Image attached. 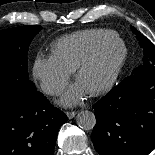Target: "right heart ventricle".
<instances>
[{"mask_svg": "<svg viewBox=\"0 0 155 155\" xmlns=\"http://www.w3.org/2000/svg\"><path fill=\"white\" fill-rule=\"evenodd\" d=\"M115 34L110 29L93 28L64 35L51 44V56L68 72H73L101 41Z\"/></svg>", "mask_w": 155, "mask_h": 155, "instance_id": "obj_1", "label": "right heart ventricle"}]
</instances>
